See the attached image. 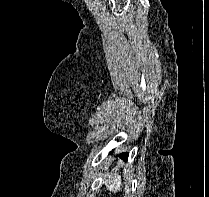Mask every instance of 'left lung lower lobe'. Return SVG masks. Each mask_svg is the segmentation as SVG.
Masks as SVG:
<instances>
[{"mask_svg":"<svg viewBox=\"0 0 209 197\" xmlns=\"http://www.w3.org/2000/svg\"><path fill=\"white\" fill-rule=\"evenodd\" d=\"M129 153H122L120 155L121 158H123L124 160H127Z\"/></svg>","mask_w":209,"mask_h":197,"instance_id":"1","label":"left lung lower lobe"}]
</instances>
